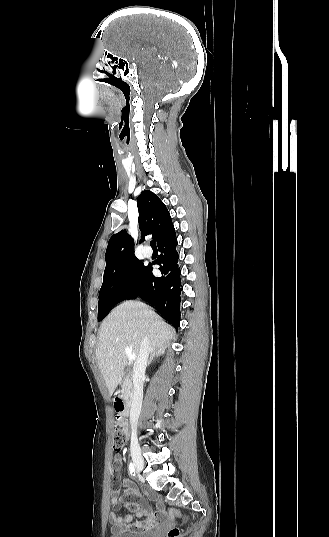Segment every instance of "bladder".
I'll use <instances>...</instances> for the list:
<instances>
[{"mask_svg":"<svg viewBox=\"0 0 329 537\" xmlns=\"http://www.w3.org/2000/svg\"><path fill=\"white\" fill-rule=\"evenodd\" d=\"M109 537H155L153 531H143V532H111Z\"/></svg>","mask_w":329,"mask_h":537,"instance_id":"31cf9c89","label":"bladder"}]
</instances>
